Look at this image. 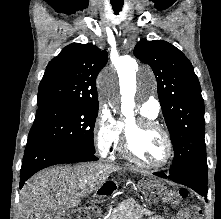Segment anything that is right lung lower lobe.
<instances>
[{"label":"right lung lower lobe","mask_w":221,"mask_h":219,"mask_svg":"<svg viewBox=\"0 0 221 219\" xmlns=\"http://www.w3.org/2000/svg\"><path fill=\"white\" fill-rule=\"evenodd\" d=\"M98 158L91 153L72 149L57 142L33 138L28 140L20 171V188L25 181L39 170L62 163L96 161Z\"/></svg>","instance_id":"right-lung-lower-lobe-1"}]
</instances>
